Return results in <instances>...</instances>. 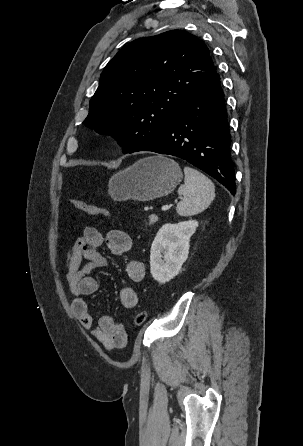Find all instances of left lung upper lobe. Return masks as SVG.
Masks as SVG:
<instances>
[{
    "mask_svg": "<svg viewBox=\"0 0 303 446\" xmlns=\"http://www.w3.org/2000/svg\"><path fill=\"white\" fill-rule=\"evenodd\" d=\"M216 73L196 36L171 30L124 46L104 68L84 124L132 153L175 120L182 104Z\"/></svg>",
    "mask_w": 303,
    "mask_h": 446,
    "instance_id": "obj_1",
    "label": "left lung upper lobe"
}]
</instances>
